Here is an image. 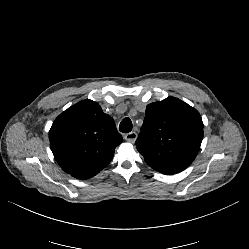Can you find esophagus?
<instances>
[{
	"instance_id": "34e87169",
	"label": "esophagus",
	"mask_w": 249,
	"mask_h": 249,
	"mask_svg": "<svg viewBox=\"0 0 249 249\" xmlns=\"http://www.w3.org/2000/svg\"><path fill=\"white\" fill-rule=\"evenodd\" d=\"M138 135L136 132H129L124 135V139L129 143H135Z\"/></svg>"
}]
</instances>
